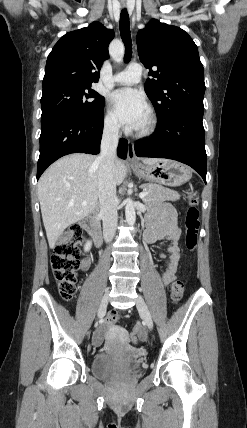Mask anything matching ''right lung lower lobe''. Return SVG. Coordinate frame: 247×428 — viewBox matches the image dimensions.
Listing matches in <instances>:
<instances>
[{
	"mask_svg": "<svg viewBox=\"0 0 247 428\" xmlns=\"http://www.w3.org/2000/svg\"><path fill=\"white\" fill-rule=\"evenodd\" d=\"M103 131V112L95 118L57 113L41 117L40 156L37 180L60 157L76 152L98 154ZM127 141L121 139L117 153L127 156Z\"/></svg>",
	"mask_w": 247,
	"mask_h": 428,
	"instance_id": "right-lung-lower-lobe-1",
	"label": "right lung lower lobe"
}]
</instances>
